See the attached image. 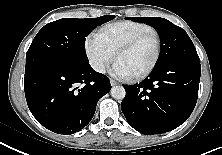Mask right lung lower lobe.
Segmentation results:
<instances>
[{
  "label": "right lung lower lobe",
  "mask_w": 222,
  "mask_h": 155,
  "mask_svg": "<svg viewBox=\"0 0 222 155\" xmlns=\"http://www.w3.org/2000/svg\"><path fill=\"white\" fill-rule=\"evenodd\" d=\"M111 89L109 78L90 64H50L25 73L28 107L45 128L64 135L83 129L98 100Z\"/></svg>",
  "instance_id": "1"
}]
</instances>
